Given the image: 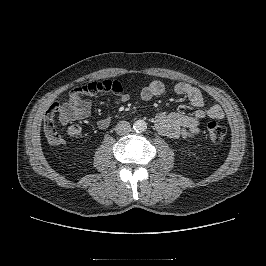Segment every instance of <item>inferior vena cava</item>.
Segmentation results:
<instances>
[{"instance_id": "1", "label": "inferior vena cava", "mask_w": 266, "mask_h": 266, "mask_svg": "<svg viewBox=\"0 0 266 266\" xmlns=\"http://www.w3.org/2000/svg\"><path fill=\"white\" fill-rule=\"evenodd\" d=\"M115 131L119 135H124L131 131V125L127 121H119L115 127Z\"/></svg>"}]
</instances>
